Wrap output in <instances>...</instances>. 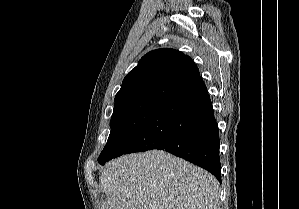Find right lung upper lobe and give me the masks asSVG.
<instances>
[{"mask_svg":"<svg viewBox=\"0 0 299 209\" xmlns=\"http://www.w3.org/2000/svg\"><path fill=\"white\" fill-rule=\"evenodd\" d=\"M198 76V67L184 53L171 48L150 51L124 78L114 107L140 102L162 103Z\"/></svg>","mask_w":299,"mask_h":209,"instance_id":"obj_1","label":"right lung upper lobe"}]
</instances>
